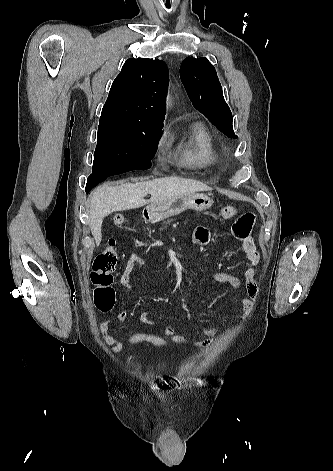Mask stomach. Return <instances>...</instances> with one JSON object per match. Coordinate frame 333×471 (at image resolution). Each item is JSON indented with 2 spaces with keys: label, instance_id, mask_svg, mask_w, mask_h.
<instances>
[{
  "label": "stomach",
  "instance_id": "1",
  "mask_svg": "<svg viewBox=\"0 0 333 471\" xmlns=\"http://www.w3.org/2000/svg\"><path fill=\"white\" fill-rule=\"evenodd\" d=\"M213 205V200L206 194L193 193L173 198L168 201L153 203L145 208V219L158 222L178 215L187 209L204 211Z\"/></svg>",
  "mask_w": 333,
  "mask_h": 471
}]
</instances>
